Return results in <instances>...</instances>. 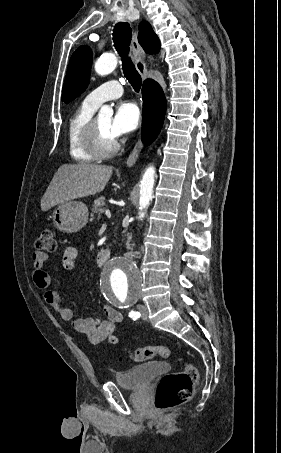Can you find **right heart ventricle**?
Listing matches in <instances>:
<instances>
[{
  "instance_id": "1",
  "label": "right heart ventricle",
  "mask_w": 281,
  "mask_h": 453,
  "mask_svg": "<svg viewBox=\"0 0 281 453\" xmlns=\"http://www.w3.org/2000/svg\"><path fill=\"white\" fill-rule=\"evenodd\" d=\"M98 107L85 99L68 119L67 138L69 150L76 161L86 162L93 159V155L86 146L85 135Z\"/></svg>"
}]
</instances>
